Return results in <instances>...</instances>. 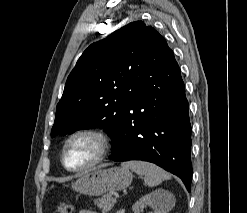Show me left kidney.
Segmentation results:
<instances>
[{
    "label": "left kidney",
    "mask_w": 247,
    "mask_h": 213,
    "mask_svg": "<svg viewBox=\"0 0 247 213\" xmlns=\"http://www.w3.org/2000/svg\"><path fill=\"white\" fill-rule=\"evenodd\" d=\"M165 194L162 191H155L140 198L133 206L134 213H141L145 206H150L153 213H165L163 210V200Z\"/></svg>",
    "instance_id": "1"
}]
</instances>
